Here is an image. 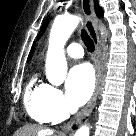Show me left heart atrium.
<instances>
[{"label": "left heart atrium", "mask_w": 136, "mask_h": 136, "mask_svg": "<svg viewBox=\"0 0 136 136\" xmlns=\"http://www.w3.org/2000/svg\"><path fill=\"white\" fill-rule=\"evenodd\" d=\"M95 86L94 72L90 65L79 64L73 67L67 78L66 90L69 101L74 106L85 104Z\"/></svg>", "instance_id": "left-heart-atrium-1"}]
</instances>
